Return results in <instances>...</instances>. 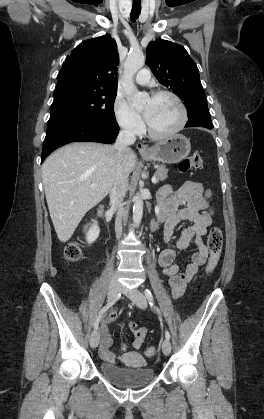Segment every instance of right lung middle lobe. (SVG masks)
<instances>
[{
    "instance_id": "right-lung-middle-lobe-1",
    "label": "right lung middle lobe",
    "mask_w": 264,
    "mask_h": 419,
    "mask_svg": "<svg viewBox=\"0 0 264 419\" xmlns=\"http://www.w3.org/2000/svg\"><path fill=\"white\" fill-rule=\"evenodd\" d=\"M117 91H103L68 84L54 91L47 133L76 121H116L113 104Z\"/></svg>"
}]
</instances>
